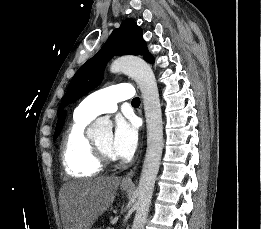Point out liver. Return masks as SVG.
Here are the masks:
<instances>
[{
  "label": "liver",
  "instance_id": "1",
  "mask_svg": "<svg viewBox=\"0 0 261 229\" xmlns=\"http://www.w3.org/2000/svg\"><path fill=\"white\" fill-rule=\"evenodd\" d=\"M120 177H98L73 181L64 187L67 229H91L96 219L112 205Z\"/></svg>",
  "mask_w": 261,
  "mask_h": 229
}]
</instances>
